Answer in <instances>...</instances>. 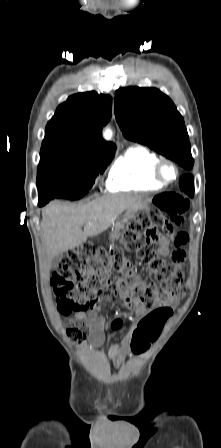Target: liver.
Masks as SVG:
<instances>
[{"instance_id":"6515ba94","label":"liver","mask_w":221,"mask_h":448,"mask_svg":"<svg viewBox=\"0 0 221 448\" xmlns=\"http://www.w3.org/2000/svg\"><path fill=\"white\" fill-rule=\"evenodd\" d=\"M141 206V197L130 194L105 195L81 205L49 204L42 210L48 260L103 233L125 210Z\"/></svg>"}]
</instances>
